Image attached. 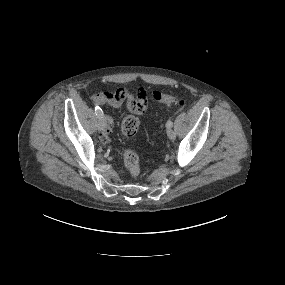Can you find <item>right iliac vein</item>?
Here are the masks:
<instances>
[{
	"label": "right iliac vein",
	"instance_id": "right-iliac-vein-1",
	"mask_svg": "<svg viewBox=\"0 0 285 285\" xmlns=\"http://www.w3.org/2000/svg\"><path fill=\"white\" fill-rule=\"evenodd\" d=\"M105 125L106 123H105L104 116L103 115L99 116L98 117V130L100 131L103 130L105 128Z\"/></svg>",
	"mask_w": 285,
	"mask_h": 285
}]
</instances>
